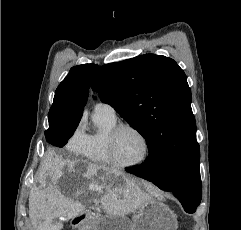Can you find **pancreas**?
<instances>
[{"instance_id":"pancreas-1","label":"pancreas","mask_w":241,"mask_h":230,"mask_svg":"<svg viewBox=\"0 0 241 230\" xmlns=\"http://www.w3.org/2000/svg\"><path fill=\"white\" fill-rule=\"evenodd\" d=\"M91 220L92 222L97 223L100 221V218L98 216H94Z\"/></svg>"}]
</instances>
